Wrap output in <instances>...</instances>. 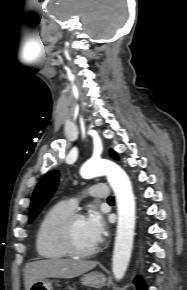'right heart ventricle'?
Wrapping results in <instances>:
<instances>
[{"instance_id": "e07e8e85", "label": "right heart ventricle", "mask_w": 187, "mask_h": 290, "mask_svg": "<svg viewBox=\"0 0 187 290\" xmlns=\"http://www.w3.org/2000/svg\"><path fill=\"white\" fill-rule=\"evenodd\" d=\"M72 210L66 202H58L43 215L35 236V248L41 258L57 260L68 256L58 241L57 226Z\"/></svg>"}]
</instances>
